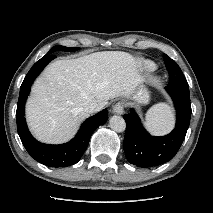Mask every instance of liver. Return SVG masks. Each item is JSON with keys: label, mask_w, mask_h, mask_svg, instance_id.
Instances as JSON below:
<instances>
[{"label": "liver", "mask_w": 213, "mask_h": 213, "mask_svg": "<svg viewBox=\"0 0 213 213\" xmlns=\"http://www.w3.org/2000/svg\"><path fill=\"white\" fill-rule=\"evenodd\" d=\"M139 61L120 51L96 52L51 63L35 81L26 105L34 136L46 143H63L76 133L89 113L85 108L130 97L138 88Z\"/></svg>", "instance_id": "6515ba94"}]
</instances>
